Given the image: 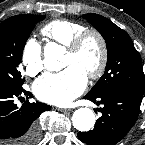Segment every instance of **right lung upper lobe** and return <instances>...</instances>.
<instances>
[{
	"label": "right lung upper lobe",
	"mask_w": 145,
	"mask_h": 145,
	"mask_svg": "<svg viewBox=\"0 0 145 145\" xmlns=\"http://www.w3.org/2000/svg\"><path fill=\"white\" fill-rule=\"evenodd\" d=\"M24 15H17V16H13L11 18H8L7 20H5L4 22H10V21H14L16 19H19L21 17H23Z\"/></svg>",
	"instance_id": "cb5924a9"
}]
</instances>
